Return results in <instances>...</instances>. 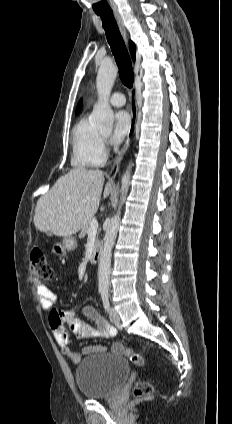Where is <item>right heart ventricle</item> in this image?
<instances>
[{"label":"right heart ventricle","instance_id":"obj_1","mask_svg":"<svg viewBox=\"0 0 232 424\" xmlns=\"http://www.w3.org/2000/svg\"><path fill=\"white\" fill-rule=\"evenodd\" d=\"M105 160L101 132L84 115L73 128L71 164L74 168L85 169L102 166Z\"/></svg>","mask_w":232,"mask_h":424}]
</instances>
